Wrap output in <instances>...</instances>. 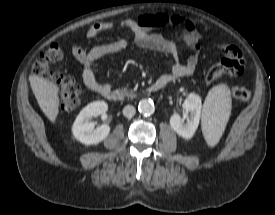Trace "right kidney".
I'll return each instance as SVG.
<instances>
[{
	"label": "right kidney",
	"mask_w": 275,
	"mask_h": 215,
	"mask_svg": "<svg viewBox=\"0 0 275 215\" xmlns=\"http://www.w3.org/2000/svg\"><path fill=\"white\" fill-rule=\"evenodd\" d=\"M108 105L104 101H96L88 104L76 117L72 126L73 136L85 145L98 144L103 141L110 132V127L103 124L94 129L92 118L105 113Z\"/></svg>",
	"instance_id": "1"
}]
</instances>
